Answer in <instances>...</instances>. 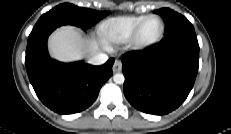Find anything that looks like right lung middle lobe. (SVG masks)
I'll list each match as a JSON object with an SVG mask.
<instances>
[{
  "mask_svg": "<svg viewBox=\"0 0 231 134\" xmlns=\"http://www.w3.org/2000/svg\"><path fill=\"white\" fill-rule=\"evenodd\" d=\"M109 13V11H95L92 9L77 7L70 3H63L43 14L36 25L64 22L82 28H90Z\"/></svg>",
  "mask_w": 231,
  "mask_h": 134,
  "instance_id": "1",
  "label": "right lung middle lobe"
}]
</instances>
